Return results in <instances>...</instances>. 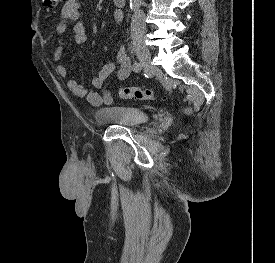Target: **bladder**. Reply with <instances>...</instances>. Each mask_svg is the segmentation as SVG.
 Wrapping results in <instances>:
<instances>
[{"label": "bladder", "instance_id": "31cf9c89", "mask_svg": "<svg viewBox=\"0 0 275 263\" xmlns=\"http://www.w3.org/2000/svg\"><path fill=\"white\" fill-rule=\"evenodd\" d=\"M94 119L99 124L133 126L150 120V114L137 107L105 105L96 109Z\"/></svg>", "mask_w": 275, "mask_h": 263}]
</instances>
